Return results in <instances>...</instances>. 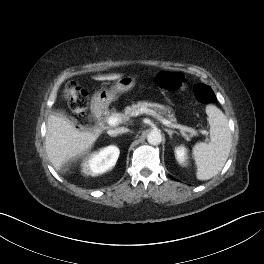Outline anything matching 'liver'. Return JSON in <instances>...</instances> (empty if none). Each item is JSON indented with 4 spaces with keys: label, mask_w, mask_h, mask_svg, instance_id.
Returning <instances> with one entry per match:
<instances>
[{
    "label": "liver",
    "mask_w": 264,
    "mask_h": 264,
    "mask_svg": "<svg viewBox=\"0 0 264 264\" xmlns=\"http://www.w3.org/2000/svg\"><path fill=\"white\" fill-rule=\"evenodd\" d=\"M120 74L93 77L95 80H116ZM99 129H77L73 121L63 113L51 112L47 122L45 148L54 168L61 171L70 161H74L88 151L101 134Z\"/></svg>",
    "instance_id": "obj_1"
}]
</instances>
